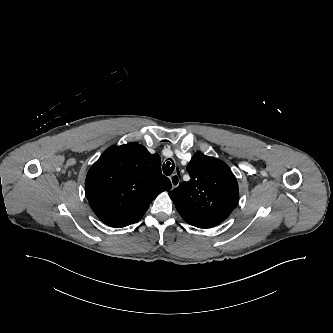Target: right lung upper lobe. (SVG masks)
<instances>
[{"label": "right lung upper lobe", "mask_w": 333, "mask_h": 333, "mask_svg": "<svg viewBox=\"0 0 333 333\" xmlns=\"http://www.w3.org/2000/svg\"><path fill=\"white\" fill-rule=\"evenodd\" d=\"M89 205L105 224L118 228L138 222L159 193L171 189L160 156L137 143L111 146L89 169Z\"/></svg>", "instance_id": "cb5924a9"}]
</instances>
